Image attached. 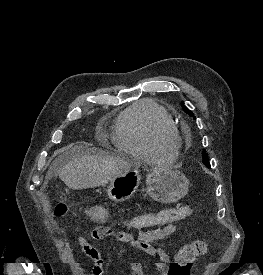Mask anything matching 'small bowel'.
I'll list each match as a JSON object with an SVG mask.
<instances>
[{
    "label": "small bowel",
    "mask_w": 263,
    "mask_h": 275,
    "mask_svg": "<svg viewBox=\"0 0 263 275\" xmlns=\"http://www.w3.org/2000/svg\"><path fill=\"white\" fill-rule=\"evenodd\" d=\"M176 229L177 227L174 223H169L162 226H155L148 230H141L138 235L134 237L124 231H116L110 227L100 226L92 231L91 237L94 240L114 237L118 241L124 242L126 245L115 252L116 258H120L129 251H134L138 256V260L131 263V275H145L141 261L144 255L154 260V266L160 275H171L170 264L173 258L165 252L164 249L157 246L156 243L173 235ZM119 234H122L123 237L119 238ZM76 242L82 252L93 262L91 275H103L104 260L100 252L84 237H77ZM191 270L187 272V275H191Z\"/></svg>",
    "instance_id": "small-bowel-1"
}]
</instances>
